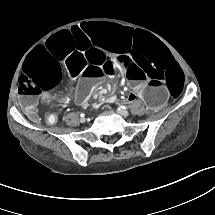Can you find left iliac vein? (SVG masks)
<instances>
[{"label":"left iliac vein","mask_w":215,"mask_h":215,"mask_svg":"<svg viewBox=\"0 0 215 215\" xmlns=\"http://www.w3.org/2000/svg\"><path fill=\"white\" fill-rule=\"evenodd\" d=\"M118 112L124 117L129 115V112L127 110H124V109H120Z\"/></svg>","instance_id":"obj_1"}]
</instances>
